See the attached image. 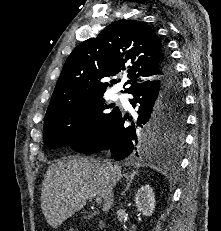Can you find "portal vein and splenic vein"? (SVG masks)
<instances>
[{
	"mask_svg": "<svg viewBox=\"0 0 221 231\" xmlns=\"http://www.w3.org/2000/svg\"><path fill=\"white\" fill-rule=\"evenodd\" d=\"M95 201H96L97 204H101L102 199H101L100 197H96V198H95Z\"/></svg>",
	"mask_w": 221,
	"mask_h": 231,
	"instance_id": "portal-vein-and-splenic-vein-1",
	"label": "portal vein and splenic vein"
}]
</instances>
